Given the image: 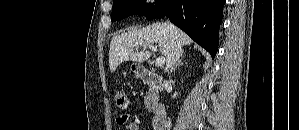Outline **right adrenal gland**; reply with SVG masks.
Instances as JSON below:
<instances>
[{
    "label": "right adrenal gland",
    "instance_id": "1",
    "mask_svg": "<svg viewBox=\"0 0 299 130\" xmlns=\"http://www.w3.org/2000/svg\"><path fill=\"white\" fill-rule=\"evenodd\" d=\"M182 60H183V56H182V57L180 58V60L174 65V67L171 68L169 74L175 72V70L177 69V67H179V66H181V65L184 64V63L182 62Z\"/></svg>",
    "mask_w": 299,
    "mask_h": 130
}]
</instances>
